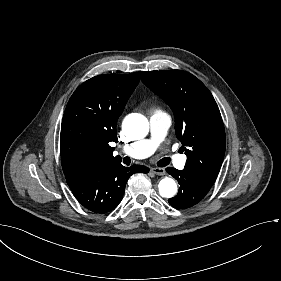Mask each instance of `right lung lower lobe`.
Wrapping results in <instances>:
<instances>
[{"label": "right lung lower lobe", "mask_w": 281, "mask_h": 281, "mask_svg": "<svg viewBox=\"0 0 281 281\" xmlns=\"http://www.w3.org/2000/svg\"><path fill=\"white\" fill-rule=\"evenodd\" d=\"M147 173L145 166L125 167L121 163L105 165L95 171L68 175V186L77 200L88 210L107 213L121 202L129 177L136 173Z\"/></svg>", "instance_id": "98d812e1"}]
</instances>
